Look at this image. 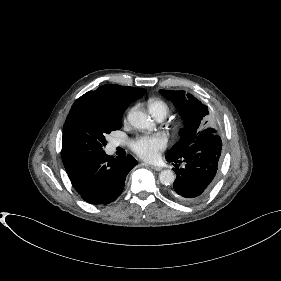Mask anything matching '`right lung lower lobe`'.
<instances>
[{"label":"right lung lower lobe","instance_id":"1","mask_svg":"<svg viewBox=\"0 0 281 281\" xmlns=\"http://www.w3.org/2000/svg\"><path fill=\"white\" fill-rule=\"evenodd\" d=\"M138 164L131 155L112 158L104 151L66 170L75 190L91 204L113 202L123 191L128 172Z\"/></svg>","mask_w":281,"mask_h":281}]
</instances>
